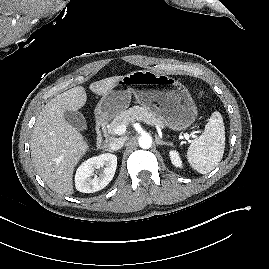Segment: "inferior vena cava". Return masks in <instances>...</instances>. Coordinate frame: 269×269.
<instances>
[{"mask_svg":"<svg viewBox=\"0 0 269 269\" xmlns=\"http://www.w3.org/2000/svg\"><path fill=\"white\" fill-rule=\"evenodd\" d=\"M125 141L126 137L115 138L109 143V149L113 151L119 150L123 147Z\"/></svg>","mask_w":269,"mask_h":269,"instance_id":"inferior-vena-cava-1","label":"inferior vena cava"}]
</instances>
